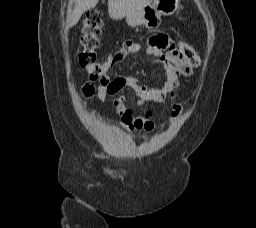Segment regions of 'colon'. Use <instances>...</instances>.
<instances>
[{"mask_svg":"<svg viewBox=\"0 0 256 228\" xmlns=\"http://www.w3.org/2000/svg\"><path fill=\"white\" fill-rule=\"evenodd\" d=\"M102 27L103 21L99 12L91 11L87 13L83 22L82 36L80 39L83 50L80 53L79 62L87 70L92 80H99L103 74V64L98 61L97 55ZM178 49L180 54L192 67H197L200 64V57L189 44L179 42ZM83 92L86 96H91L94 90L91 86L86 85L83 88Z\"/></svg>","mask_w":256,"mask_h":228,"instance_id":"obj_1","label":"colon"}]
</instances>
